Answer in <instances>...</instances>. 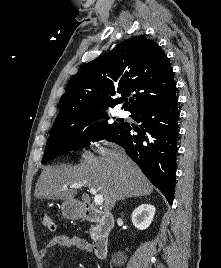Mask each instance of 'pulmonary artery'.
<instances>
[{"label": "pulmonary artery", "mask_w": 221, "mask_h": 268, "mask_svg": "<svg viewBox=\"0 0 221 268\" xmlns=\"http://www.w3.org/2000/svg\"><path fill=\"white\" fill-rule=\"evenodd\" d=\"M118 116L121 117V118H125L127 116V113L124 110H120L118 112Z\"/></svg>", "instance_id": "obj_1"}]
</instances>
